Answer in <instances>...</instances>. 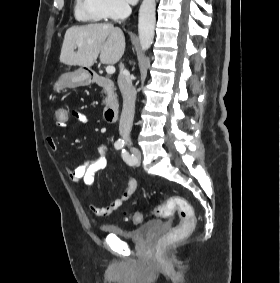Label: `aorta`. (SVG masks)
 <instances>
[{"label":"aorta","mask_w":280,"mask_h":283,"mask_svg":"<svg viewBox=\"0 0 280 283\" xmlns=\"http://www.w3.org/2000/svg\"><path fill=\"white\" fill-rule=\"evenodd\" d=\"M156 0H143L139 9L138 33L142 50H148L154 39Z\"/></svg>","instance_id":"obj_1"}]
</instances>
